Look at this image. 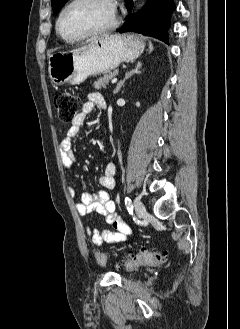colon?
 <instances>
[{
    "label": "colon",
    "mask_w": 240,
    "mask_h": 329,
    "mask_svg": "<svg viewBox=\"0 0 240 329\" xmlns=\"http://www.w3.org/2000/svg\"><path fill=\"white\" fill-rule=\"evenodd\" d=\"M54 105L62 122H72L82 109V100L79 96L71 93H59L55 96ZM165 258L163 252L142 251L132 256L126 263L128 270L139 266H157ZM95 260L101 267L107 266V258L101 252H95Z\"/></svg>",
    "instance_id": "5ec220e1"
}]
</instances>
